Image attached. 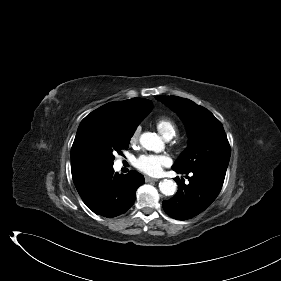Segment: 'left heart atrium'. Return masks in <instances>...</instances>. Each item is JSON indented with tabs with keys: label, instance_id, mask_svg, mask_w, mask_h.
<instances>
[{
	"label": "left heart atrium",
	"instance_id": "1",
	"mask_svg": "<svg viewBox=\"0 0 281 281\" xmlns=\"http://www.w3.org/2000/svg\"><path fill=\"white\" fill-rule=\"evenodd\" d=\"M171 160L166 155H141L137 158L135 165L136 167L148 174V175H159L164 167L169 166Z\"/></svg>",
	"mask_w": 281,
	"mask_h": 281
}]
</instances>
